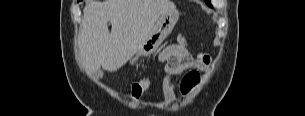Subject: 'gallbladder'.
I'll list each match as a JSON object with an SVG mask.
<instances>
[{"mask_svg":"<svg viewBox=\"0 0 305 116\" xmlns=\"http://www.w3.org/2000/svg\"><path fill=\"white\" fill-rule=\"evenodd\" d=\"M92 77L95 79H100L103 77V71L102 70H97L92 73Z\"/></svg>","mask_w":305,"mask_h":116,"instance_id":"bac80fb5","label":"gallbladder"}]
</instances>
